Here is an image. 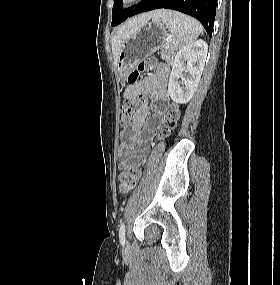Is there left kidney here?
I'll return each mask as SVG.
<instances>
[{
	"mask_svg": "<svg viewBox=\"0 0 280 285\" xmlns=\"http://www.w3.org/2000/svg\"><path fill=\"white\" fill-rule=\"evenodd\" d=\"M207 52V43L198 40L180 49L176 54L168 84V93L174 102L185 104L194 95L205 66ZM183 71L188 73L187 77H183ZM180 78L182 87L178 82Z\"/></svg>",
	"mask_w": 280,
	"mask_h": 285,
	"instance_id": "1",
	"label": "left kidney"
}]
</instances>
